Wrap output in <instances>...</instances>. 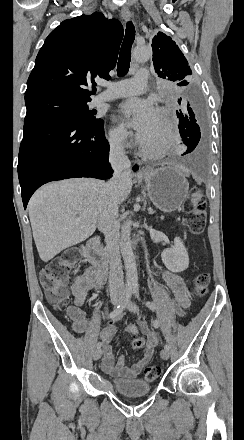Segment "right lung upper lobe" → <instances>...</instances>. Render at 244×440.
I'll return each mask as SVG.
<instances>
[{
	"mask_svg": "<svg viewBox=\"0 0 244 440\" xmlns=\"http://www.w3.org/2000/svg\"><path fill=\"white\" fill-rule=\"evenodd\" d=\"M122 38V24L100 12L63 21L36 57L25 99L43 95L90 98L96 92L94 78H110Z\"/></svg>",
	"mask_w": 244,
	"mask_h": 440,
	"instance_id": "obj_1",
	"label": "right lung upper lobe"
}]
</instances>
